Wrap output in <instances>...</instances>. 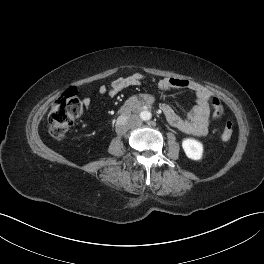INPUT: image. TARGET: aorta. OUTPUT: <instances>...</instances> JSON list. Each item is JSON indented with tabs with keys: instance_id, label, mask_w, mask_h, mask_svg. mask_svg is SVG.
<instances>
[{
	"instance_id": "762f6f07",
	"label": "aorta",
	"mask_w": 264,
	"mask_h": 264,
	"mask_svg": "<svg viewBox=\"0 0 264 264\" xmlns=\"http://www.w3.org/2000/svg\"><path fill=\"white\" fill-rule=\"evenodd\" d=\"M151 117H152V114L148 110H143L137 115V118L142 121H148L151 119Z\"/></svg>"
}]
</instances>
